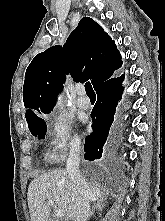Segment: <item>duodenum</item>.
Segmentation results:
<instances>
[{
	"label": "duodenum",
	"instance_id": "1",
	"mask_svg": "<svg viewBox=\"0 0 165 221\" xmlns=\"http://www.w3.org/2000/svg\"><path fill=\"white\" fill-rule=\"evenodd\" d=\"M49 221H58V220H49Z\"/></svg>",
	"mask_w": 165,
	"mask_h": 221
}]
</instances>
